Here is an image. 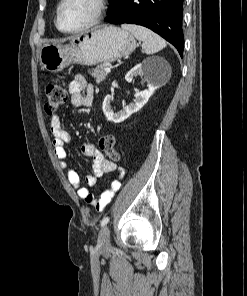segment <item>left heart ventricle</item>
Here are the masks:
<instances>
[{
	"label": "left heart ventricle",
	"instance_id": "1",
	"mask_svg": "<svg viewBox=\"0 0 247 296\" xmlns=\"http://www.w3.org/2000/svg\"><path fill=\"white\" fill-rule=\"evenodd\" d=\"M95 11L93 0H68L61 9L60 26L72 30L86 24Z\"/></svg>",
	"mask_w": 247,
	"mask_h": 296
}]
</instances>
